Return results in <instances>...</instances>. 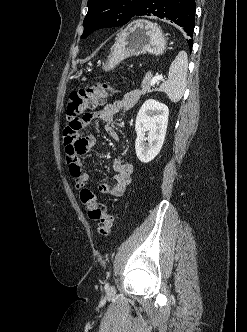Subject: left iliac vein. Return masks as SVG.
<instances>
[{"mask_svg": "<svg viewBox=\"0 0 247 332\" xmlns=\"http://www.w3.org/2000/svg\"><path fill=\"white\" fill-rule=\"evenodd\" d=\"M114 292H115V289H114L113 286H111V287L108 288L107 294H108V295H113Z\"/></svg>", "mask_w": 247, "mask_h": 332, "instance_id": "4c4485c4", "label": "left iliac vein"}]
</instances>
